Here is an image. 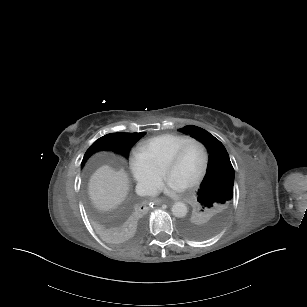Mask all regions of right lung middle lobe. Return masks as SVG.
Returning a JSON list of instances; mask_svg holds the SVG:
<instances>
[{
    "instance_id": "1",
    "label": "right lung middle lobe",
    "mask_w": 307,
    "mask_h": 307,
    "mask_svg": "<svg viewBox=\"0 0 307 307\" xmlns=\"http://www.w3.org/2000/svg\"><path fill=\"white\" fill-rule=\"evenodd\" d=\"M145 133H111L96 140L86 151L82 166L86 160L95 152L100 150H111L125 157L128 156L130 148L142 137Z\"/></svg>"
}]
</instances>
